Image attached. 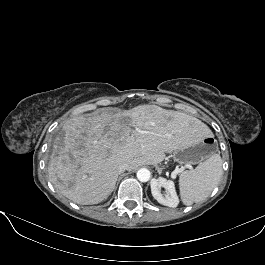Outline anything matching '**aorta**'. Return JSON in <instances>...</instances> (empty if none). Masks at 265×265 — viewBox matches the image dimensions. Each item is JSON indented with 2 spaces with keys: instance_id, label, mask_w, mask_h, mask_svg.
Instances as JSON below:
<instances>
[{
  "instance_id": "aorta-1",
  "label": "aorta",
  "mask_w": 265,
  "mask_h": 265,
  "mask_svg": "<svg viewBox=\"0 0 265 265\" xmlns=\"http://www.w3.org/2000/svg\"><path fill=\"white\" fill-rule=\"evenodd\" d=\"M151 173L146 168H141L137 171V178L141 182H147L150 180Z\"/></svg>"
}]
</instances>
